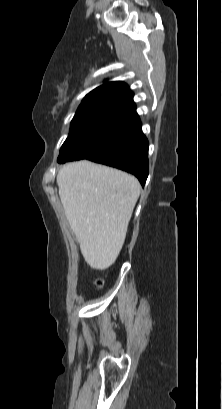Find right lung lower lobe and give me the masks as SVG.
I'll return each mask as SVG.
<instances>
[{
	"label": "right lung lower lobe",
	"instance_id": "98d812e1",
	"mask_svg": "<svg viewBox=\"0 0 222 409\" xmlns=\"http://www.w3.org/2000/svg\"><path fill=\"white\" fill-rule=\"evenodd\" d=\"M84 159L127 171L144 186L149 173L148 140L135 108L123 113L103 144Z\"/></svg>",
	"mask_w": 222,
	"mask_h": 409
}]
</instances>
